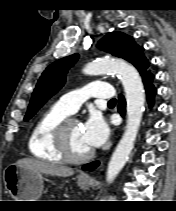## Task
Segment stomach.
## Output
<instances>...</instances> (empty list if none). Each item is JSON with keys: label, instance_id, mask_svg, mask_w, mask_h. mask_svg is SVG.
Instances as JSON below:
<instances>
[{"label": "stomach", "instance_id": "obj_1", "mask_svg": "<svg viewBox=\"0 0 176 211\" xmlns=\"http://www.w3.org/2000/svg\"><path fill=\"white\" fill-rule=\"evenodd\" d=\"M5 188L15 201H38L43 192V176L40 172L9 165L3 174ZM78 186L88 189L89 180L78 177Z\"/></svg>", "mask_w": 176, "mask_h": 211}]
</instances>
